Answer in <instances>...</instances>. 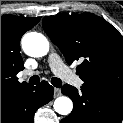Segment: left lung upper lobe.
<instances>
[{"instance_id": "obj_1", "label": "left lung upper lobe", "mask_w": 123, "mask_h": 123, "mask_svg": "<svg viewBox=\"0 0 123 123\" xmlns=\"http://www.w3.org/2000/svg\"><path fill=\"white\" fill-rule=\"evenodd\" d=\"M42 26L68 64L80 61L82 87L123 97V37L110 23L83 13L49 16Z\"/></svg>"}]
</instances>
